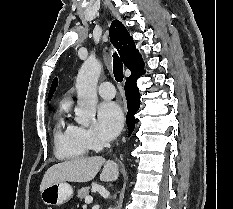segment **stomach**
I'll return each mask as SVG.
<instances>
[{
	"label": "stomach",
	"mask_w": 233,
	"mask_h": 209,
	"mask_svg": "<svg viewBox=\"0 0 233 209\" xmlns=\"http://www.w3.org/2000/svg\"><path fill=\"white\" fill-rule=\"evenodd\" d=\"M73 196V188L67 182L51 184L41 191V199L46 205L60 206Z\"/></svg>",
	"instance_id": "0dacf381"
}]
</instances>
